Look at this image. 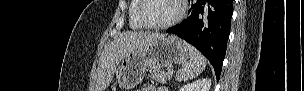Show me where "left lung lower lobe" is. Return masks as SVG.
I'll return each mask as SVG.
<instances>
[{
	"mask_svg": "<svg viewBox=\"0 0 304 91\" xmlns=\"http://www.w3.org/2000/svg\"><path fill=\"white\" fill-rule=\"evenodd\" d=\"M233 0H197L188 17L167 30L195 46L214 67L217 80L230 34Z\"/></svg>",
	"mask_w": 304,
	"mask_h": 91,
	"instance_id": "obj_1",
	"label": "left lung lower lobe"
}]
</instances>
